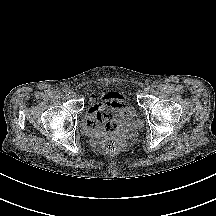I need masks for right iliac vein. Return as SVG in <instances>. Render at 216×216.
Listing matches in <instances>:
<instances>
[{"label": "right iliac vein", "instance_id": "1", "mask_svg": "<svg viewBox=\"0 0 216 216\" xmlns=\"http://www.w3.org/2000/svg\"><path fill=\"white\" fill-rule=\"evenodd\" d=\"M75 96H76V93H75V92H71V93H70V97H71V98H74Z\"/></svg>", "mask_w": 216, "mask_h": 216}]
</instances>
